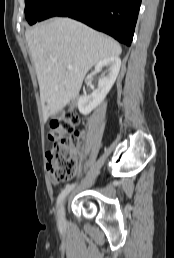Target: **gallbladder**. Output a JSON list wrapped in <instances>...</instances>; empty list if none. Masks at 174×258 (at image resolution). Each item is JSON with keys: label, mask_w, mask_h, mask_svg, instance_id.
I'll return each instance as SVG.
<instances>
[{"label": "gallbladder", "mask_w": 174, "mask_h": 258, "mask_svg": "<svg viewBox=\"0 0 174 258\" xmlns=\"http://www.w3.org/2000/svg\"><path fill=\"white\" fill-rule=\"evenodd\" d=\"M62 115V111H59L57 115L53 116V117H56V116H61Z\"/></svg>", "instance_id": "1"}]
</instances>
